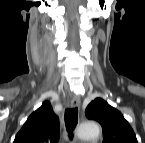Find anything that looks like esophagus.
<instances>
[{
	"mask_svg": "<svg viewBox=\"0 0 145 143\" xmlns=\"http://www.w3.org/2000/svg\"><path fill=\"white\" fill-rule=\"evenodd\" d=\"M80 104H81L80 98L78 96L74 95L72 97V100H71V107L72 108H76V107L80 108Z\"/></svg>",
	"mask_w": 145,
	"mask_h": 143,
	"instance_id": "34e87169",
	"label": "esophagus"
}]
</instances>
